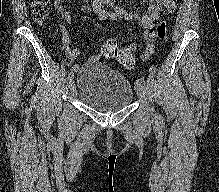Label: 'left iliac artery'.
<instances>
[{"label": "left iliac artery", "instance_id": "1", "mask_svg": "<svg viewBox=\"0 0 219 192\" xmlns=\"http://www.w3.org/2000/svg\"><path fill=\"white\" fill-rule=\"evenodd\" d=\"M147 82H149L150 84H154L155 83V79H154L152 74L148 75Z\"/></svg>", "mask_w": 219, "mask_h": 192}]
</instances>
